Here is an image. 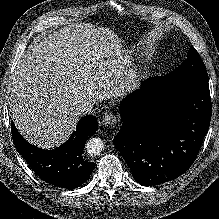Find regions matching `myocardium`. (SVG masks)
Here are the masks:
<instances>
[{"mask_svg": "<svg viewBox=\"0 0 219 219\" xmlns=\"http://www.w3.org/2000/svg\"><path fill=\"white\" fill-rule=\"evenodd\" d=\"M145 66V62L143 60H138L134 64H132L122 75L121 82L124 86L132 85L136 79L138 78L139 74L141 73L142 69Z\"/></svg>", "mask_w": 219, "mask_h": 219, "instance_id": "1", "label": "myocardium"}]
</instances>
